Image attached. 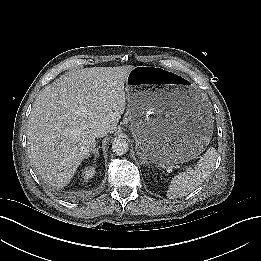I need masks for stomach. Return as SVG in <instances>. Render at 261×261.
Returning a JSON list of instances; mask_svg holds the SVG:
<instances>
[{
    "label": "stomach",
    "instance_id": "1",
    "mask_svg": "<svg viewBox=\"0 0 261 261\" xmlns=\"http://www.w3.org/2000/svg\"><path fill=\"white\" fill-rule=\"evenodd\" d=\"M161 76L166 79L158 80ZM125 89L131 130L149 162H188L208 145L211 114L187 79L158 67L138 66L130 71Z\"/></svg>",
    "mask_w": 261,
    "mask_h": 261
}]
</instances>
